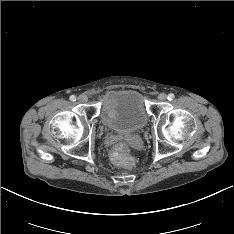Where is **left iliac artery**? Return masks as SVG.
I'll list each match as a JSON object with an SVG mask.
<instances>
[{"mask_svg": "<svg viewBox=\"0 0 234 234\" xmlns=\"http://www.w3.org/2000/svg\"><path fill=\"white\" fill-rule=\"evenodd\" d=\"M175 95L173 93L168 94V100H173Z\"/></svg>", "mask_w": 234, "mask_h": 234, "instance_id": "1", "label": "left iliac artery"}]
</instances>
